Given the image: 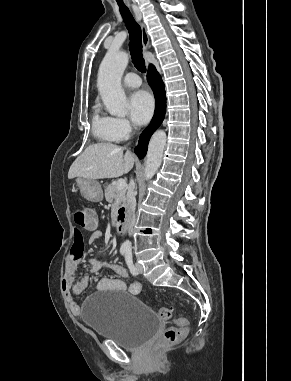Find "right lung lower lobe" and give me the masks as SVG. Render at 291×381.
<instances>
[{"mask_svg":"<svg viewBox=\"0 0 291 381\" xmlns=\"http://www.w3.org/2000/svg\"><path fill=\"white\" fill-rule=\"evenodd\" d=\"M147 80L155 96V112L150 126L143 131L140 136L139 145L135 148V153L139 158L146 155L148 142L154 131L161 125L166 111V95L163 81L154 66L148 70Z\"/></svg>","mask_w":291,"mask_h":381,"instance_id":"98d812e1","label":"right lung lower lobe"}]
</instances>
